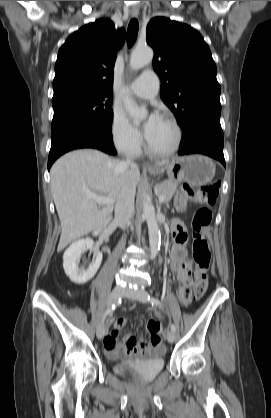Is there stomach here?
Segmentation results:
<instances>
[{"instance_id": "0dacf381", "label": "stomach", "mask_w": 271, "mask_h": 418, "mask_svg": "<svg viewBox=\"0 0 271 418\" xmlns=\"http://www.w3.org/2000/svg\"><path fill=\"white\" fill-rule=\"evenodd\" d=\"M215 164L202 155H190L173 158L163 167H154L150 172L155 175L167 173L172 181H183L192 186L209 183L215 176Z\"/></svg>"}]
</instances>
